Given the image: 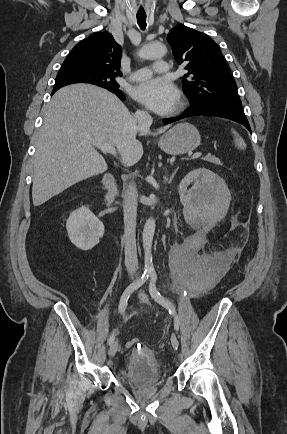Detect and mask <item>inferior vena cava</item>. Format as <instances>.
<instances>
[{
	"label": "inferior vena cava",
	"instance_id": "1",
	"mask_svg": "<svg viewBox=\"0 0 287 434\" xmlns=\"http://www.w3.org/2000/svg\"><path fill=\"white\" fill-rule=\"evenodd\" d=\"M134 117L142 129H149L152 117L146 111L138 110ZM137 189L135 183H130L123 195L124 211V246L125 266L128 274L133 278L138 269L136 249V217H137Z\"/></svg>",
	"mask_w": 287,
	"mask_h": 434
}]
</instances>
